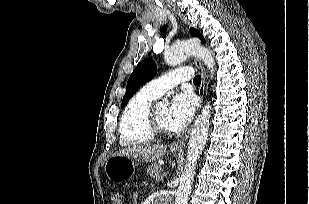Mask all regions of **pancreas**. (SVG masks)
<instances>
[{"instance_id": "1", "label": "pancreas", "mask_w": 309, "mask_h": 204, "mask_svg": "<svg viewBox=\"0 0 309 204\" xmlns=\"http://www.w3.org/2000/svg\"><path fill=\"white\" fill-rule=\"evenodd\" d=\"M147 173L150 175V177L156 181L161 179V166L157 163L150 165L147 168Z\"/></svg>"}]
</instances>
